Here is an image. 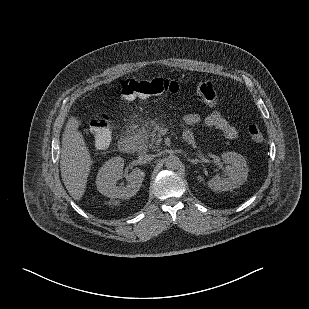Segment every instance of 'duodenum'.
Segmentation results:
<instances>
[{
  "label": "duodenum",
  "instance_id": "duodenum-1",
  "mask_svg": "<svg viewBox=\"0 0 309 309\" xmlns=\"http://www.w3.org/2000/svg\"><path fill=\"white\" fill-rule=\"evenodd\" d=\"M184 141L188 144H192L194 142V139L190 136H185ZM118 149L123 153H130L133 149L132 141L127 138H120L118 141Z\"/></svg>",
  "mask_w": 309,
  "mask_h": 309
}]
</instances>
